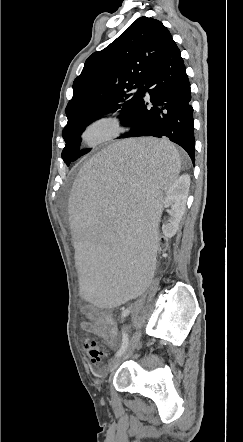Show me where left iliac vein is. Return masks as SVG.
Segmentation results:
<instances>
[{"label":"left iliac vein","mask_w":243,"mask_h":442,"mask_svg":"<svg viewBox=\"0 0 243 442\" xmlns=\"http://www.w3.org/2000/svg\"><path fill=\"white\" fill-rule=\"evenodd\" d=\"M140 337H141V330H138L134 336L132 337V339L130 340L127 348L125 349V351L116 356L109 364L108 366V371L109 372H114L118 366L127 358L131 355V353L134 351L135 348L139 347L140 345Z\"/></svg>","instance_id":"obj_1"}]
</instances>
